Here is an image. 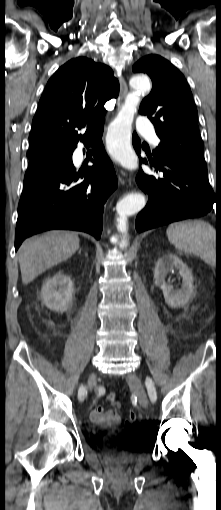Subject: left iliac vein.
I'll return each mask as SVG.
<instances>
[{"mask_svg": "<svg viewBox=\"0 0 221 510\" xmlns=\"http://www.w3.org/2000/svg\"><path fill=\"white\" fill-rule=\"evenodd\" d=\"M150 381L153 384V391H156L154 383L151 378H150ZM127 382L131 386V388L135 391L140 405L144 408H147L148 407V397H147L146 391L142 385L141 379L135 374H128Z\"/></svg>", "mask_w": 221, "mask_h": 510, "instance_id": "4c4485c4", "label": "left iliac vein"}]
</instances>
